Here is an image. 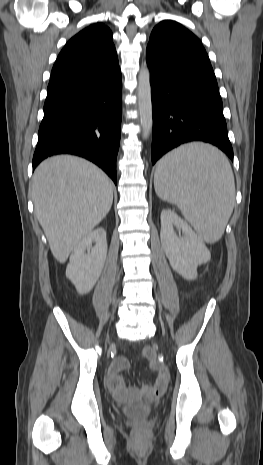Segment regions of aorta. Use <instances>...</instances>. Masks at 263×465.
I'll return each mask as SVG.
<instances>
[{"label":"aorta","mask_w":263,"mask_h":465,"mask_svg":"<svg viewBox=\"0 0 263 465\" xmlns=\"http://www.w3.org/2000/svg\"><path fill=\"white\" fill-rule=\"evenodd\" d=\"M137 98L142 136L147 139L153 126L150 72L147 67L142 68L138 75Z\"/></svg>","instance_id":"762f6f07"}]
</instances>
